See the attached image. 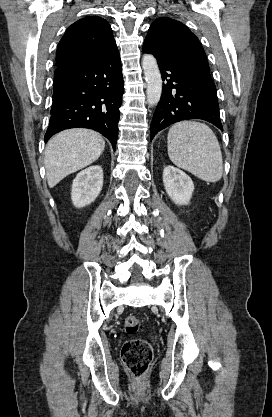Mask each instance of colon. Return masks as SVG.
I'll return each instance as SVG.
<instances>
[{
    "label": "colon",
    "mask_w": 272,
    "mask_h": 417,
    "mask_svg": "<svg viewBox=\"0 0 272 417\" xmlns=\"http://www.w3.org/2000/svg\"><path fill=\"white\" fill-rule=\"evenodd\" d=\"M125 330L128 334H136L141 327L140 319L130 315L125 319ZM153 357L151 345L142 338L126 341L122 347L121 358L127 371L136 379L146 374Z\"/></svg>",
    "instance_id": "1"
}]
</instances>
